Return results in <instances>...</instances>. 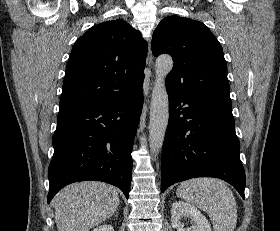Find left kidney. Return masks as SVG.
I'll return each mask as SVG.
<instances>
[{
    "instance_id": "left-kidney-1",
    "label": "left kidney",
    "mask_w": 280,
    "mask_h": 231,
    "mask_svg": "<svg viewBox=\"0 0 280 231\" xmlns=\"http://www.w3.org/2000/svg\"><path fill=\"white\" fill-rule=\"evenodd\" d=\"M182 219H190L191 227H184ZM171 225L176 227L177 231H211L205 215L200 213L195 205L185 203V201H174L171 207Z\"/></svg>"
}]
</instances>
